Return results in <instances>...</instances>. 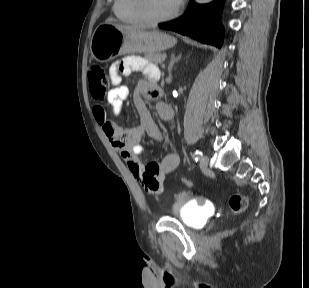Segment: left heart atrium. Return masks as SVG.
Listing matches in <instances>:
<instances>
[{
    "label": "left heart atrium",
    "mask_w": 309,
    "mask_h": 288,
    "mask_svg": "<svg viewBox=\"0 0 309 288\" xmlns=\"http://www.w3.org/2000/svg\"><path fill=\"white\" fill-rule=\"evenodd\" d=\"M178 3H180L182 0H176Z\"/></svg>",
    "instance_id": "obj_1"
}]
</instances>
